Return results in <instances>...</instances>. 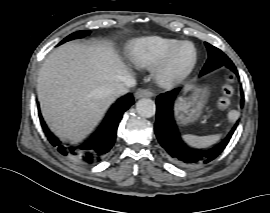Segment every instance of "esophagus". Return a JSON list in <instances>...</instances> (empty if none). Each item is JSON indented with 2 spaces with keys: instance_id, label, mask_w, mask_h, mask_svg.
Instances as JSON below:
<instances>
[{
  "instance_id": "1",
  "label": "esophagus",
  "mask_w": 270,
  "mask_h": 213,
  "mask_svg": "<svg viewBox=\"0 0 270 213\" xmlns=\"http://www.w3.org/2000/svg\"><path fill=\"white\" fill-rule=\"evenodd\" d=\"M152 96H153V92L149 89H140L135 93L136 99L144 98V97H152Z\"/></svg>"
}]
</instances>
